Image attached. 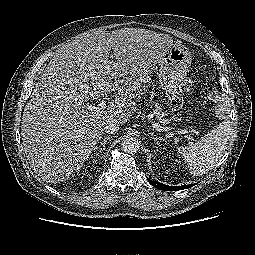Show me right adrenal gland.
<instances>
[{
  "mask_svg": "<svg viewBox=\"0 0 255 255\" xmlns=\"http://www.w3.org/2000/svg\"><path fill=\"white\" fill-rule=\"evenodd\" d=\"M111 138H112V136H108V137H107V136H104V138H103L101 144L98 145L95 149H98L99 146H102L101 151H103V150L105 149V144H106V142H107L108 140H110Z\"/></svg>",
  "mask_w": 255,
  "mask_h": 255,
  "instance_id": "1",
  "label": "right adrenal gland"
}]
</instances>
